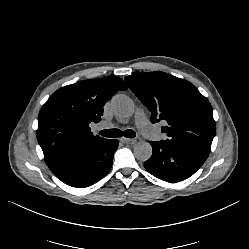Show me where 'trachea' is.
Segmentation results:
<instances>
[{"mask_svg":"<svg viewBox=\"0 0 249 249\" xmlns=\"http://www.w3.org/2000/svg\"><path fill=\"white\" fill-rule=\"evenodd\" d=\"M99 134L101 136L109 137V138L122 137V136H125L127 138H134L136 136V133L131 129L125 130L124 132H122L121 130L116 129V128L108 129V130H101Z\"/></svg>","mask_w":249,"mask_h":249,"instance_id":"1","label":"trachea"}]
</instances>
